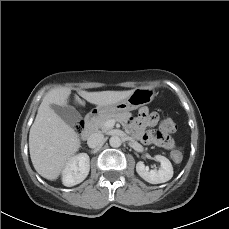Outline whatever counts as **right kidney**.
<instances>
[{
  "label": "right kidney",
  "instance_id": "1",
  "mask_svg": "<svg viewBox=\"0 0 229 229\" xmlns=\"http://www.w3.org/2000/svg\"><path fill=\"white\" fill-rule=\"evenodd\" d=\"M90 158L86 153H80L67 163L62 173V182L67 187L81 183L89 174Z\"/></svg>",
  "mask_w": 229,
  "mask_h": 229
}]
</instances>
